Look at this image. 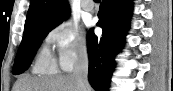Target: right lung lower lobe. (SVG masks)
<instances>
[{"mask_svg":"<svg viewBox=\"0 0 173 91\" xmlns=\"http://www.w3.org/2000/svg\"><path fill=\"white\" fill-rule=\"evenodd\" d=\"M132 6L130 0H103L97 25L103 30L97 37L88 33V80L96 91H108L115 66L114 57L121 50L130 25Z\"/></svg>","mask_w":173,"mask_h":91,"instance_id":"98d812e1","label":"right lung lower lobe"}]
</instances>
